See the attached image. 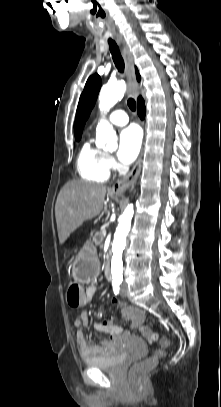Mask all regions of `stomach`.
I'll list each match as a JSON object with an SVG mask.
<instances>
[{
    "instance_id": "0dacf381",
    "label": "stomach",
    "mask_w": 221,
    "mask_h": 407,
    "mask_svg": "<svg viewBox=\"0 0 221 407\" xmlns=\"http://www.w3.org/2000/svg\"><path fill=\"white\" fill-rule=\"evenodd\" d=\"M98 271V259L91 249L83 248L74 258L72 273L75 280L81 283L91 282Z\"/></svg>"
}]
</instances>
